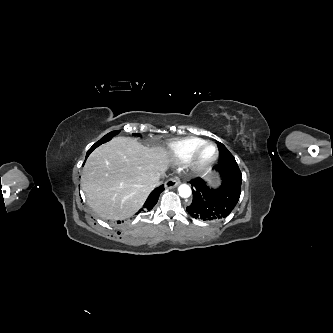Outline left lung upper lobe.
<instances>
[{
    "label": "left lung upper lobe",
    "mask_w": 333,
    "mask_h": 333,
    "mask_svg": "<svg viewBox=\"0 0 333 333\" xmlns=\"http://www.w3.org/2000/svg\"><path fill=\"white\" fill-rule=\"evenodd\" d=\"M219 150H220L219 164L236 163L233 155L227 150V148L222 143L219 144Z\"/></svg>",
    "instance_id": "1"
}]
</instances>
